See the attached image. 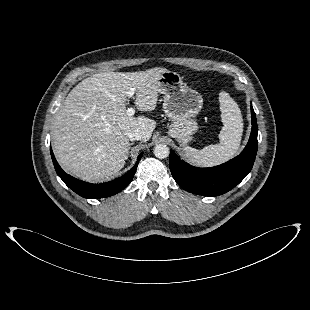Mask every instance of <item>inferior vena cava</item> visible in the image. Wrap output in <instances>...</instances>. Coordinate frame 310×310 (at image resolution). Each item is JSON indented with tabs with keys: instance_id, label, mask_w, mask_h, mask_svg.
<instances>
[{
	"instance_id": "602c4592",
	"label": "inferior vena cava",
	"mask_w": 310,
	"mask_h": 310,
	"mask_svg": "<svg viewBox=\"0 0 310 310\" xmlns=\"http://www.w3.org/2000/svg\"><path fill=\"white\" fill-rule=\"evenodd\" d=\"M128 138L130 141L142 140V135L138 130H133L128 133Z\"/></svg>"
}]
</instances>
